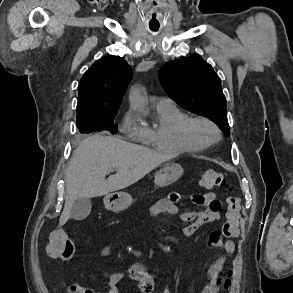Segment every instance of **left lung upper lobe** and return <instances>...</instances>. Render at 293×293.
Masks as SVG:
<instances>
[{"mask_svg": "<svg viewBox=\"0 0 293 293\" xmlns=\"http://www.w3.org/2000/svg\"><path fill=\"white\" fill-rule=\"evenodd\" d=\"M158 77L163 89L182 108L211 119L230 135L221 80L199 55L168 61Z\"/></svg>", "mask_w": 293, "mask_h": 293, "instance_id": "left-lung-upper-lobe-1", "label": "left lung upper lobe"}]
</instances>
